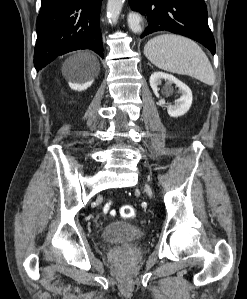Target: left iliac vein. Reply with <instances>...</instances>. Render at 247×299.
Returning a JSON list of instances; mask_svg holds the SVG:
<instances>
[{
	"label": "left iliac vein",
	"instance_id": "4c4485c4",
	"mask_svg": "<svg viewBox=\"0 0 247 299\" xmlns=\"http://www.w3.org/2000/svg\"><path fill=\"white\" fill-rule=\"evenodd\" d=\"M145 190H146V192L148 193V195L150 196V197H152V190H151V188H150V186L149 185H145Z\"/></svg>",
	"mask_w": 247,
	"mask_h": 299
}]
</instances>
